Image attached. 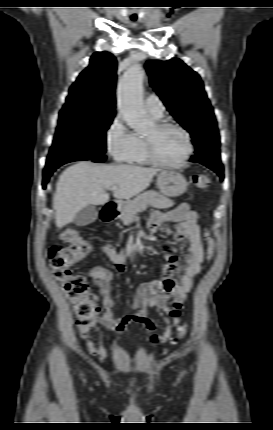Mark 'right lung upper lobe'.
I'll return each mask as SVG.
<instances>
[{
  "label": "right lung upper lobe",
  "mask_w": 273,
  "mask_h": 430,
  "mask_svg": "<svg viewBox=\"0 0 273 430\" xmlns=\"http://www.w3.org/2000/svg\"><path fill=\"white\" fill-rule=\"evenodd\" d=\"M116 64L109 52L94 53L89 66L70 87L62 110L115 114Z\"/></svg>",
  "instance_id": "obj_1"
}]
</instances>
